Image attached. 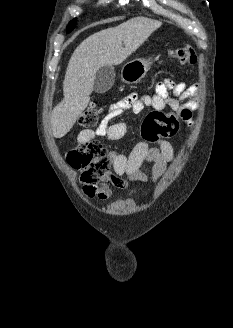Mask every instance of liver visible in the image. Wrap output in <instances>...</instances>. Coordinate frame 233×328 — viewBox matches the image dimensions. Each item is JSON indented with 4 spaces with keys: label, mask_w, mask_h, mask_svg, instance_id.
<instances>
[{
    "label": "liver",
    "mask_w": 233,
    "mask_h": 328,
    "mask_svg": "<svg viewBox=\"0 0 233 328\" xmlns=\"http://www.w3.org/2000/svg\"><path fill=\"white\" fill-rule=\"evenodd\" d=\"M160 26L158 21L133 18L81 42L67 66L64 98L52 111L51 128L55 138L65 136L88 106L97 71L103 66L121 64Z\"/></svg>",
    "instance_id": "6515ba94"
}]
</instances>
